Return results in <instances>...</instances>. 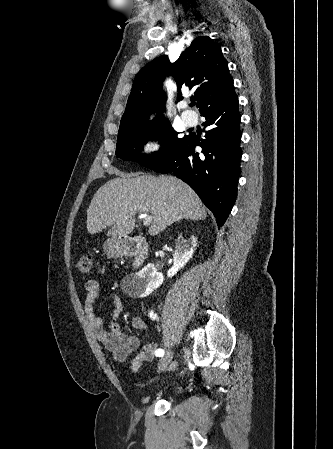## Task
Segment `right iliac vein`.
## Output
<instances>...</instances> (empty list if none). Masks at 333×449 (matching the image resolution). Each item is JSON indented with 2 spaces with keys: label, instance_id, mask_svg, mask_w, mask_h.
I'll return each instance as SVG.
<instances>
[{
  "label": "right iliac vein",
  "instance_id": "right-iliac-vein-1",
  "mask_svg": "<svg viewBox=\"0 0 333 449\" xmlns=\"http://www.w3.org/2000/svg\"><path fill=\"white\" fill-rule=\"evenodd\" d=\"M173 357V352L168 351L159 361L158 370L163 371L171 362Z\"/></svg>",
  "mask_w": 333,
  "mask_h": 449
}]
</instances>
